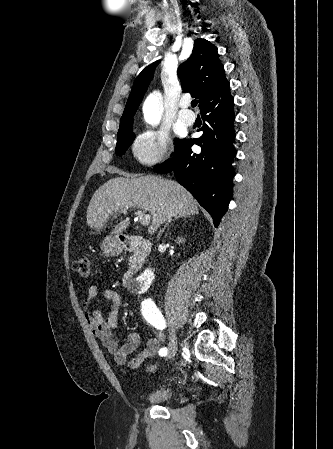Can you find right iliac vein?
<instances>
[{
  "instance_id": "1",
  "label": "right iliac vein",
  "mask_w": 333,
  "mask_h": 449,
  "mask_svg": "<svg viewBox=\"0 0 333 449\" xmlns=\"http://www.w3.org/2000/svg\"><path fill=\"white\" fill-rule=\"evenodd\" d=\"M177 351V337L175 334H172L170 337V342L168 344V358L174 357Z\"/></svg>"
}]
</instances>
